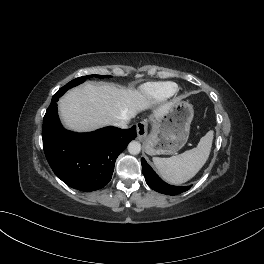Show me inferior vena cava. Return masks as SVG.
I'll return each mask as SVG.
<instances>
[{"label":"inferior vena cava","instance_id":"1","mask_svg":"<svg viewBox=\"0 0 264 264\" xmlns=\"http://www.w3.org/2000/svg\"><path fill=\"white\" fill-rule=\"evenodd\" d=\"M128 123H129L128 120H121V121H118V122L114 123V125L116 127H119V128H122V129H126V128H128Z\"/></svg>","mask_w":264,"mask_h":264}]
</instances>
